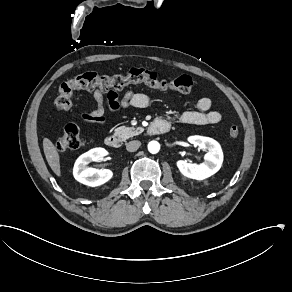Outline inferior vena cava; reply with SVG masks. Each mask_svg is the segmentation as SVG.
Wrapping results in <instances>:
<instances>
[{
  "mask_svg": "<svg viewBox=\"0 0 292 292\" xmlns=\"http://www.w3.org/2000/svg\"><path fill=\"white\" fill-rule=\"evenodd\" d=\"M141 146V142L138 140L130 141L126 144V149L129 152H134L138 150V148Z\"/></svg>",
  "mask_w": 292,
  "mask_h": 292,
  "instance_id": "inferior-vena-cava-1",
  "label": "inferior vena cava"
}]
</instances>
